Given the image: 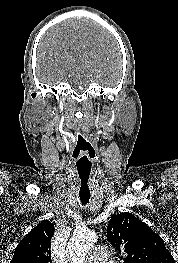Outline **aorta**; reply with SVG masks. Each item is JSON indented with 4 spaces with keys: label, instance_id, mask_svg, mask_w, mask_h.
<instances>
[{
    "label": "aorta",
    "instance_id": "aorta-1",
    "mask_svg": "<svg viewBox=\"0 0 178 263\" xmlns=\"http://www.w3.org/2000/svg\"><path fill=\"white\" fill-rule=\"evenodd\" d=\"M95 232L86 229L76 230L67 245L70 263H83L87 252L97 242Z\"/></svg>",
    "mask_w": 178,
    "mask_h": 263
}]
</instances>
